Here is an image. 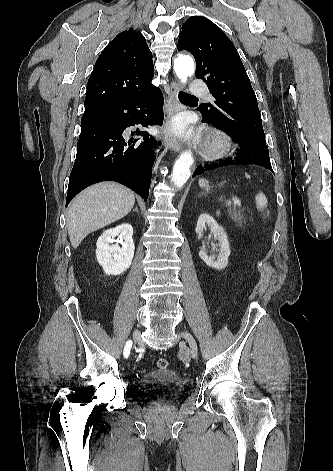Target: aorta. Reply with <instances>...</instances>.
Segmentation results:
<instances>
[{"instance_id":"obj_1","label":"aorta","mask_w":333,"mask_h":471,"mask_svg":"<svg viewBox=\"0 0 333 471\" xmlns=\"http://www.w3.org/2000/svg\"><path fill=\"white\" fill-rule=\"evenodd\" d=\"M174 71L182 83H186L195 71L194 61L189 56H179L174 62ZM194 158L191 151L183 152L173 166L171 182L177 188H181L191 175V166Z\"/></svg>"}]
</instances>
